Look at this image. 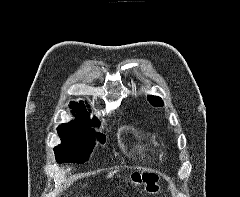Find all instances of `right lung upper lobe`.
I'll return each instance as SVG.
<instances>
[{
    "instance_id": "cb5924a9",
    "label": "right lung upper lobe",
    "mask_w": 240,
    "mask_h": 197,
    "mask_svg": "<svg viewBox=\"0 0 240 197\" xmlns=\"http://www.w3.org/2000/svg\"><path fill=\"white\" fill-rule=\"evenodd\" d=\"M70 107L73 109V112L79 115V118L76 120L65 123L60 126L63 127H72V128H88L91 126H99L100 122L97 118H94L93 120H90L89 113L87 112L84 103H75L71 102Z\"/></svg>"
}]
</instances>
